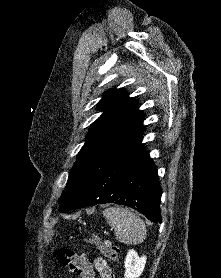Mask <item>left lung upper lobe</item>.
Listing matches in <instances>:
<instances>
[{"mask_svg":"<svg viewBox=\"0 0 221 278\" xmlns=\"http://www.w3.org/2000/svg\"><path fill=\"white\" fill-rule=\"evenodd\" d=\"M137 100L126 90L113 89L104 93L97 104L102 115L89 129L84 146L72 167L67 185L58 201L60 211L73 209L97 174L119 152L143 135L144 113Z\"/></svg>","mask_w":221,"mask_h":278,"instance_id":"obj_1","label":"left lung upper lobe"}]
</instances>
